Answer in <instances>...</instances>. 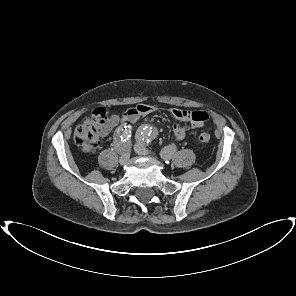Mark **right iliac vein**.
<instances>
[{"instance_id": "right-iliac-vein-1", "label": "right iliac vein", "mask_w": 296, "mask_h": 296, "mask_svg": "<svg viewBox=\"0 0 296 296\" xmlns=\"http://www.w3.org/2000/svg\"><path fill=\"white\" fill-rule=\"evenodd\" d=\"M129 158H130V152H129L128 148H126L119 158V163L121 165H124L129 161Z\"/></svg>"}]
</instances>
